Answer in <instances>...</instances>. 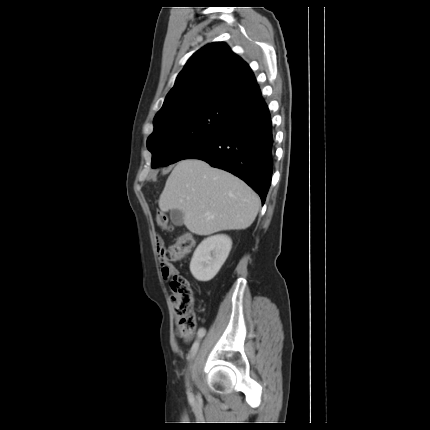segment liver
I'll use <instances>...</instances> for the list:
<instances>
[{"label":"liver","mask_w":430,"mask_h":430,"mask_svg":"<svg viewBox=\"0 0 430 430\" xmlns=\"http://www.w3.org/2000/svg\"><path fill=\"white\" fill-rule=\"evenodd\" d=\"M259 207V197L240 178L194 158L177 163L159 198L161 211H182L186 228L201 236L246 229Z\"/></svg>","instance_id":"obj_1"}]
</instances>
